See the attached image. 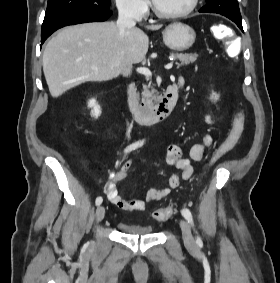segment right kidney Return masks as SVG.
I'll return each instance as SVG.
<instances>
[{"mask_svg": "<svg viewBox=\"0 0 280 283\" xmlns=\"http://www.w3.org/2000/svg\"><path fill=\"white\" fill-rule=\"evenodd\" d=\"M88 107L92 108L91 115L95 118H98L101 114L100 106L96 103L95 99H91L88 102Z\"/></svg>", "mask_w": 280, "mask_h": 283, "instance_id": "1", "label": "right kidney"}]
</instances>
